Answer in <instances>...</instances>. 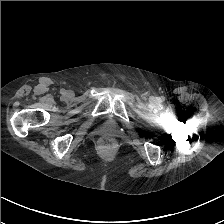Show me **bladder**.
<instances>
[{
  "label": "bladder",
  "instance_id": "1",
  "mask_svg": "<svg viewBox=\"0 0 224 224\" xmlns=\"http://www.w3.org/2000/svg\"><path fill=\"white\" fill-rule=\"evenodd\" d=\"M108 124L112 125V124H113V122H112L111 120H108Z\"/></svg>",
  "mask_w": 224,
  "mask_h": 224
}]
</instances>
